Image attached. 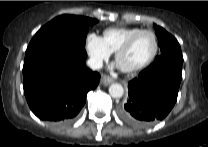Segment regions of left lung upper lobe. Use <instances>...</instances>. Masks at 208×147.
<instances>
[{
	"label": "left lung upper lobe",
	"mask_w": 208,
	"mask_h": 147,
	"mask_svg": "<svg viewBox=\"0 0 208 147\" xmlns=\"http://www.w3.org/2000/svg\"><path fill=\"white\" fill-rule=\"evenodd\" d=\"M154 28L156 29L158 45L161 50L160 56L169 55L183 60L180 45L175 37L156 24H154ZM160 56H157L156 58Z\"/></svg>",
	"instance_id": "left-lung-upper-lobe-1"
}]
</instances>
